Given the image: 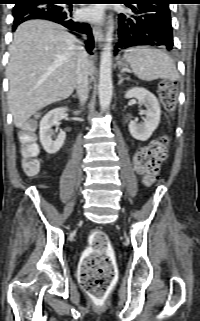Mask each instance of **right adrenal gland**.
Instances as JSON below:
<instances>
[{"mask_svg":"<svg viewBox=\"0 0 200 321\" xmlns=\"http://www.w3.org/2000/svg\"><path fill=\"white\" fill-rule=\"evenodd\" d=\"M72 97H73V98H77V95H73Z\"/></svg>","mask_w":200,"mask_h":321,"instance_id":"obj_1","label":"right adrenal gland"}]
</instances>
